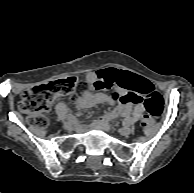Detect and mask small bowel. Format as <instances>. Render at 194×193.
Here are the masks:
<instances>
[{
  "label": "small bowel",
  "instance_id": "c3829d8e",
  "mask_svg": "<svg viewBox=\"0 0 194 193\" xmlns=\"http://www.w3.org/2000/svg\"><path fill=\"white\" fill-rule=\"evenodd\" d=\"M119 70L115 68H106L99 71H93L86 74L84 83L86 89L75 98L74 103L77 108H90L104 103H113L112 99L101 90L104 88L106 81L110 78H117ZM137 79L135 92L142 93L147 87H152L148 82L141 78ZM153 88V87H152ZM133 112L136 117H140L141 108H133L130 102H120L115 108L101 116L95 123L96 126L107 128L109 121L114 118L125 116Z\"/></svg>",
  "mask_w": 194,
  "mask_h": 193
}]
</instances>
